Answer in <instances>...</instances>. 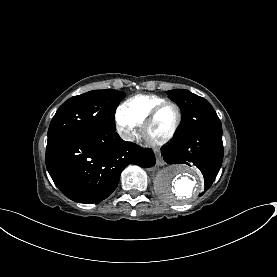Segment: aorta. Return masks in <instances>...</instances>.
I'll use <instances>...</instances> for the list:
<instances>
[{"instance_id": "762f6f07", "label": "aorta", "mask_w": 277, "mask_h": 277, "mask_svg": "<svg viewBox=\"0 0 277 277\" xmlns=\"http://www.w3.org/2000/svg\"><path fill=\"white\" fill-rule=\"evenodd\" d=\"M155 188L161 199L176 204L196 198L203 191L204 183L196 169L185 165H171L157 174Z\"/></svg>"}]
</instances>
